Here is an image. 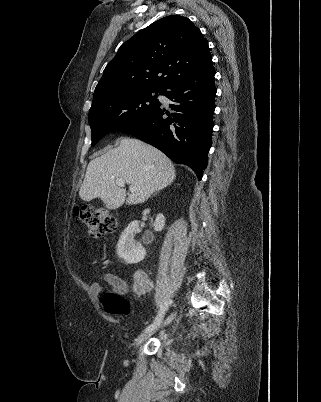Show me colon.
Returning a JSON list of instances; mask_svg holds the SVG:
<instances>
[{
    "mask_svg": "<svg viewBox=\"0 0 321 402\" xmlns=\"http://www.w3.org/2000/svg\"><path fill=\"white\" fill-rule=\"evenodd\" d=\"M75 217L87 228L93 238H100L117 229V219L104 209L95 206H83L75 210ZM106 313L114 316H126L130 312L128 300L118 293H106L102 297Z\"/></svg>",
    "mask_w": 321,
    "mask_h": 402,
    "instance_id": "obj_1",
    "label": "colon"
}]
</instances>
